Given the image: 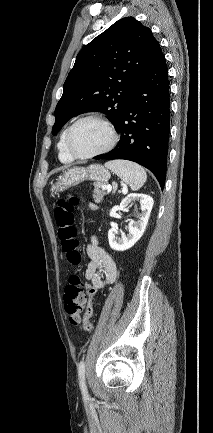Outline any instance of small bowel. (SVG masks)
<instances>
[{"mask_svg":"<svg viewBox=\"0 0 213 433\" xmlns=\"http://www.w3.org/2000/svg\"><path fill=\"white\" fill-rule=\"evenodd\" d=\"M88 264L85 278L88 281L86 293L88 296L85 316L89 319L93 314V298L96 293L112 284L117 278V266L112 257L98 245L97 238L91 237L86 246Z\"/></svg>","mask_w":213,"mask_h":433,"instance_id":"small-bowel-1","label":"small bowel"}]
</instances>
